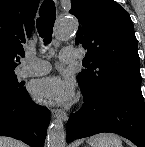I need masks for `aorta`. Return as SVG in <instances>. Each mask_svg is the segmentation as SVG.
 Wrapping results in <instances>:
<instances>
[{"mask_svg":"<svg viewBox=\"0 0 145 147\" xmlns=\"http://www.w3.org/2000/svg\"><path fill=\"white\" fill-rule=\"evenodd\" d=\"M77 22L62 18L57 22L55 38L57 41L67 40L77 30ZM65 129L61 118L55 119L47 131V147H65Z\"/></svg>","mask_w":145,"mask_h":147,"instance_id":"obj_1","label":"aorta"}]
</instances>
